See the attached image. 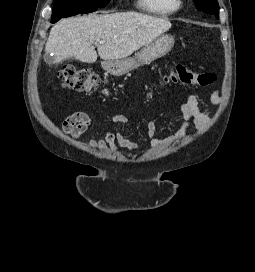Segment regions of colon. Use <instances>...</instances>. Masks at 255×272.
I'll return each mask as SVG.
<instances>
[{
  "mask_svg": "<svg viewBox=\"0 0 255 272\" xmlns=\"http://www.w3.org/2000/svg\"><path fill=\"white\" fill-rule=\"evenodd\" d=\"M59 78L65 88L84 93L96 90L101 82L98 74L85 68H64L59 72ZM215 78L211 72H198L183 64H175L164 76L163 83L206 86L212 84Z\"/></svg>",
  "mask_w": 255,
  "mask_h": 272,
  "instance_id": "colon-1",
  "label": "colon"
}]
</instances>
